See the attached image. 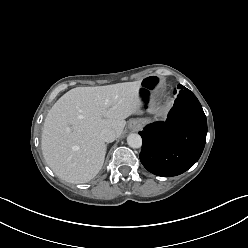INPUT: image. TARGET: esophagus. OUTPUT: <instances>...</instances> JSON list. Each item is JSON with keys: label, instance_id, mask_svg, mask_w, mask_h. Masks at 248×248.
Here are the masks:
<instances>
[{"label": "esophagus", "instance_id": "obj_1", "mask_svg": "<svg viewBox=\"0 0 248 248\" xmlns=\"http://www.w3.org/2000/svg\"><path fill=\"white\" fill-rule=\"evenodd\" d=\"M139 127H140V124L138 123V121H136V120H134V121H132L131 123H130V128L132 129V130H137V129H139Z\"/></svg>", "mask_w": 248, "mask_h": 248}]
</instances>
